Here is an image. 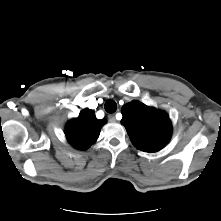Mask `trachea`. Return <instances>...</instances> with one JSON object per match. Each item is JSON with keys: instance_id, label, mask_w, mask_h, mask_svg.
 I'll use <instances>...</instances> for the list:
<instances>
[{"instance_id": "obj_1", "label": "trachea", "mask_w": 221, "mask_h": 221, "mask_svg": "<svg viewBox=\"0 0 221 221\" xmlns=\"http://www.w3.org/2000/svg\"><path fill=\"white\" fill-rule=\"evenodd\" d=\"M104 108L107 113H114L117 110V104L114 100L109 99L106 101Z\"/></svg>"}]
</instances>
